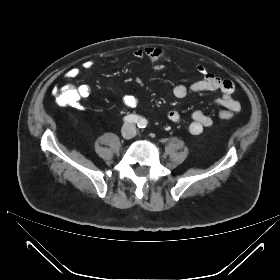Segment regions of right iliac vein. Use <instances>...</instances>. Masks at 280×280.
<instances>
[{
  "label": "right iliac vein",
  "mask_w": 280,
  "mask_h": 280,
  "mask_svg": "<svg viewBox=\"0 0 280 280\" xmlns=\"http://www.w3.org/2000/svg\"><path fill=\"white\" fill-rule=\"evenodd\" d=\"M121 136L124 139H129L132 136V128L128 125L124 126L121 130Z\"/></svg>",
  "instance_id": "obj_1"
}]
</instances>
